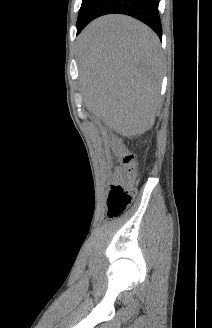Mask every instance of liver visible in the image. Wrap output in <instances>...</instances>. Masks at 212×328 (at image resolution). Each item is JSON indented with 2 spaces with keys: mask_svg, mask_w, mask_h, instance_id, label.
<instances>
[{
  "mask_svg": "<svg viewBox=\"0 0 212 328\" xmlns=\"http://www.w3.org/2000/svg\"><path fill=\"white\" fill-rule=\"evenodd\" d=\"M78 65L87 109L124 137L140 135L160 107L157 35L125 15H106L79 36Z\"/></svg>",
  "mask_w": 212,
  "mask_h": 328,
  "instance_id": "6515ba94",
  "label": "liver"
}]
</instances>
